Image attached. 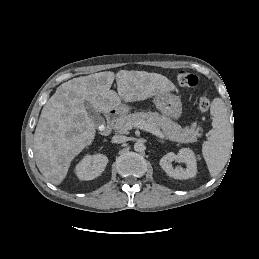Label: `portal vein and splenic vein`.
Here are the masks:
<instances>
[{"instance_id":"1","label":"portal vein and splenic vein","mask_w":259,"mask_h":259,"mask_svg":"<svg viewBox=\"0 0 259 259\" xmlns=\"http://www.w3.org/2000/svg\"><path fill=\"white\" fill-rule=\"evenodd\" d=\"M127 127L129 129H132V127L142 129V130L148 131V132L156 135L157 137H159L161 139H164V134L160 131V129H158V128L150 125V124H147L144 121H137V122H134V123H128Z\"/></svg>"}]
</instances>
